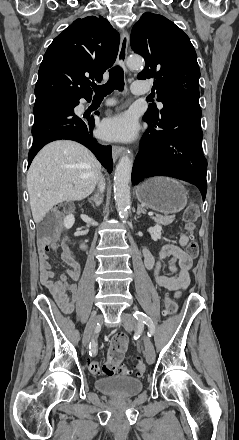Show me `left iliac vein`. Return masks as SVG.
<instances>
[{
  "label": "left iliac vein",
  "mask_w": 239,
  "mask_h": 440,
  "mask_svg": "<svg viewBox=\"0 0 239 440\" xmlns=\"http://www.w3.org/2000/svg\"><path fill=\"white\" fill-rule=\"evenodd\" d=\"M122 322L124 326L131 330L137 329V321L136 319L129 313H123L122 314ZM143 342L145 346V354H146V361L148 364H152L155 361V349L154 346L146 335H143Z\"/></svg>",
  "instance_id": "4c4485c4"
}]
</instances>
